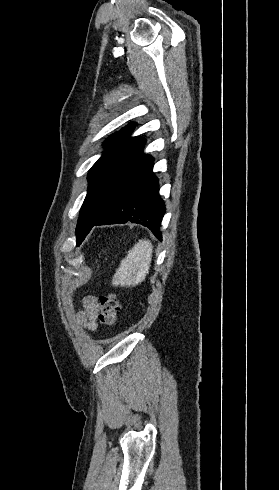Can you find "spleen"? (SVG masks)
I'll return each mask as SVG.
<instances>
[{
	"label": "spleen",
	"mask_w": 279,
	"mask_h": 490,
	"mask_svg": "<svg viewBox=\"0 0 279 490\" xmlns=\"http://www.w3.org/2000/svg\"><path fill=\"white\" fill-rule=\"evenodd\" d=\"M152 254L153 246L149 240H138L116 270L112 280L113 286L130 288L144 282L150 270Z\"/></svg>",
	"instance_id": "1"
}]
</instances>
